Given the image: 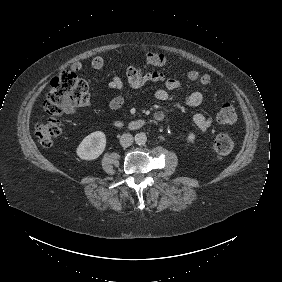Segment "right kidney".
I'll return each mask as SVG.
<instances>
[{
    "label": "right kidney",
    "mask_w": 282,
    "mask_h": 282,
    "mask_svg": "<svg viewBox=\"0 0 282 282\" xmlns=\"http://www.w3.org/2000/svg\"><path fill=\"white\" fill-rule=\"evenodd\" d=\"M106 148V136L102 131H95L85 136L76 148V155L81 160H95Z\"/></svg>",
    "instance_id": "obj_1"
}]
</instances>
